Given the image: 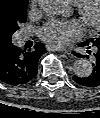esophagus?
I'll use <instances>...</instances> for the list:
<instances>
[{
	"label": "esophagus",
	"instance_id": "34e87169",
	"mask_svg": "<svg viewBox=\"0 0 100 118\" xmlns=\"http://www.w3.org/2000/svg\"><path fill=\"white\" fill-rule=\"evenodd\" d=\"M46 49H47L48 51H62V52L65 53V54H71V53H69V52L66 51V50H59V49L54 48V47H52V46H50V45H46Z\"/></svg>",
	"mask_w": 100,
	"mask_h": 118
}]
</instances>
